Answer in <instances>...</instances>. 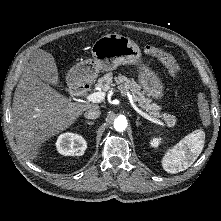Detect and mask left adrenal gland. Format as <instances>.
Listing matches in <instances>:
<instances>
[{"mask_svg": "<svg viewBox=\"0 0 221 221\" xmlns=\"http://www.w3.org/2000/svg\"><path fill=\"white\" fill-rule=\"evenodd\" d=\"M140 125V118L139 116H137V119H136V126L138 127Z\"/></svg>", "mask_w": 221, "mask_h": 221, "instance_id": "left-adrenal-gland-1", "label": "left adrenal gland"}]
</instances>
